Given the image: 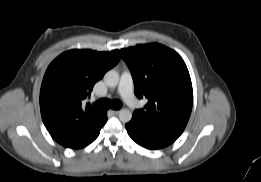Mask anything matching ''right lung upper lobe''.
<instances>
[{"mask_svg":"<svg viewBox=\"0 0 261 182\" xmlns=\"http://www.w3.org/2000/svg\"><path fill=\"white\" fill-rule=\"evenodd\" d=\"M120 52L69 50L47 68L40 90V109L45 127L59 144L81 147L101 124L104 110L86 107L82 101L94 84L114 67Z\"/></svg>","mask_w":261,"mask_h":182,"instance_id":"obj_1","label":"right lung upper lobe"}]
</instances>
